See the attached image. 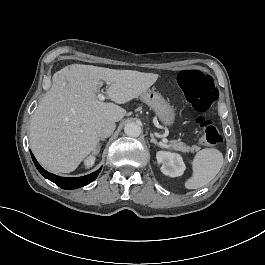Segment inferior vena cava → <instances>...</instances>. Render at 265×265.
I'll return each mask as SVG.
<instances>
[{
    "instance_id": "inferior-vena-cava-1",
    "label": "inferior vena cava",
    "mask_w": 265,
    "mask_h": 265,
    "mask_svg": "<svg viewBox=\"0 0 265 265\" xmlns=\"http://www.w3.org/2000/svg\"><path fill=\"white\" fill-rule=\"evenodd\" d=\"M115 122L110 120H103L97 127V134L99 137H109L115 130Z\"/></svg>"
}]
</instances>
